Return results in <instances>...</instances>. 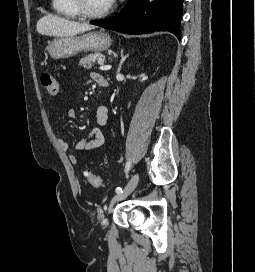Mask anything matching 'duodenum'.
Here are the masks:
<instances>
[{
    "label": "duodenum",
    "instance_id": "duodenum-1",
    "mask_svg": "<svg viewBox=\"0 0 255 272\" xmlns=\"http://www.w3.org/2000/svg\"><path fill=\"white\" fill-rule=\"evenodd\" d=\"M98 84L102 87H107L108 86V81L106 79H101Z\"/></svg>",
    "mask_w": 255,
    "mask_h": 272
}]
</instances>
